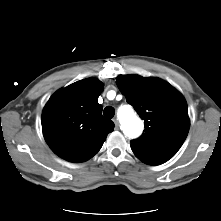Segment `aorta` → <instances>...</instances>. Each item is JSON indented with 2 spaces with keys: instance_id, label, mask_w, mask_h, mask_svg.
I'll use <instances>...</instances> for the list:
<instances>
[{
  "instance_id": "aorta-1",
  "label": "aorta",
  "mask_w": 221,
  "mask_h": 221,
  "mask_svg": "<svg viewBox=\"0 0 221 221\" xmlns=\"http://www.w3.org/2000/svg\"><path fill=\"white\" fill-rule=\"evenodd\" d=\"M118 118L127 137L136 138L142 133L143 123L135 115L131 106H121L118 110Z\"/></svg>"
}]
</instances>
